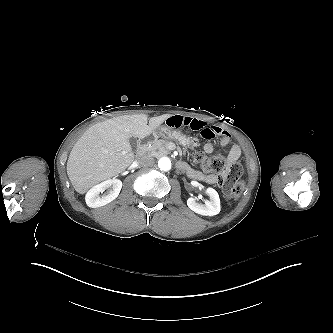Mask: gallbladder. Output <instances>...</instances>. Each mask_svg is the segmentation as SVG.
<instances>
[{"instance_id": "gallbladder-1", "label": "gallbladder", "mask_w": 333, "mask_h": 333, "mask_svg": "<svg viewBox=\"0 0 333 333\" xmlns=\"http://www.w3.org/2000/svg\"><path fill=\"white\" fill-rule=\"evenodd\" d=\"M130 145H131L132 151L136 152L138 149V142L135 138L130 139Z\"/></svg>"}]
</instances>
